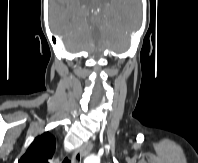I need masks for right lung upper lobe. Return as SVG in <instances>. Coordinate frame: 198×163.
Instances as JSON below:
<instances>
[{
	"label": "right lung upper lobe",
	"instance_id": "obj_1",
	"mask_svg": "<svg viewBox=\"0 0 198 163\" xmlns=\"http://www.w3.org/2000/svg\"><path fill=\"white\" fill-rule=\"evenodd\" d=\"M56 148V139L49 132L35 138L18 163H49Z\"/></svg>",
	"mask_w": 198,
	"mask_h": 163
}]
</instances>
